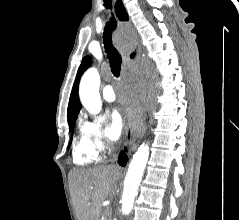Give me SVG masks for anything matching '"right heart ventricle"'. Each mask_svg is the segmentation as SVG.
Here are the masks:
<instances>
[{
  "mask_svg": "<svg viewBox=\"0 0 239 220\" xmlns=\"http://www.w3.org/2000/svg\"><path fill=\"white\" fill-rule=\"evenodd\" d=\"M72 157L73 162L77 165H88L99 159V156L82 135L74 144Z\"/></svg>",
  "mask_w": 239,
  "mask_h": 220,
  "instance_id": "obj_1",
  "label": "right heart ventricle"
}]
</instances>
